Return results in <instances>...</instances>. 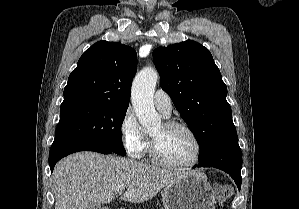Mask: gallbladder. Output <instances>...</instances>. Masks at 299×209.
<instances>
[{"mask_svg": "<svg viewBox=\"0 0 299 209\" xmlns=\"http://www.w3.org/2000/svg\"><path fill=\"white\" fill-rule=\"evenodd\" d=\"M87 209H101L99 203H91L88 205Z\"/></svg>", "mask_w": 299, "mask_h": 209, "instance_id": "gallbladder-1", "label": "gallbladder"}]
</instances>
